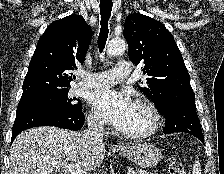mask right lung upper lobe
Returning a JSON list of instances; mask_svg holds the SVG:
<instances>
[{"instance_id": "1", "label": "right lung upper lobe", "mask_w": 224, "mask_h": 174, "mask_svg": "<svg viewBox=\"0 0 224 174\" xmlns=\"http://www.w3.org/2000/svg\"><path fill=\"white\" fill-rule=\"evenodd\" d=\"M91 29L79 15L54 21L41 36L23 83L27 94L46 87H70L77 63H83Z\"/></svg>"}]
</instances>
